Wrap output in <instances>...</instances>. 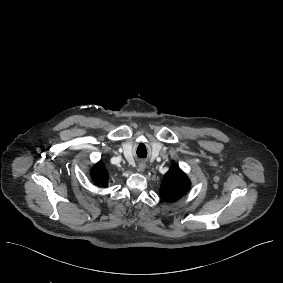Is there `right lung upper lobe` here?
<instances>
[{"instance_id":"cb5924a9","label":"right lung upper lobe","mask_w":283,"mask_h":283,"mask_svg":"<svg viewBox=\"0 0 283 283\" xmlns=\"http://www.w3.org/2000/svg\"><path fill=\"white\" fill-rule=\"evenodd\" d=\"M91 177L95 183L98 185H102L103 187L107 186L108 182V172L105 168V165L102 161H99L92 169H91Z\"/></svg>"}]
</instances>
